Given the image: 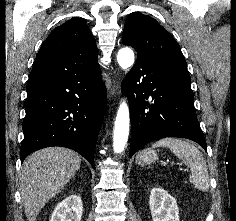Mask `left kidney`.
I'll return each mask as SVG.
<instances>
[{"instance_id": "left-kidney-1", "label": "left kidney", "mask_w": 236, "mask_h": 221, "mask_svg": "<svg viewBox=\"0 0 236 221\" xmlns=\"http://www.w3.org/2000/svg\"><path fill=\"white\" fill-rule=\"evenodd\" d=\"M153 221H179L176 199L160 187L153 188L149 197Z\"/></svg>"}]
</instances>
